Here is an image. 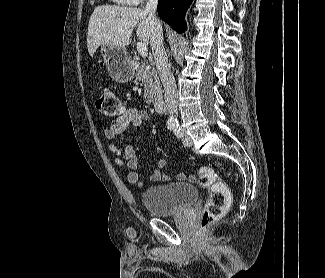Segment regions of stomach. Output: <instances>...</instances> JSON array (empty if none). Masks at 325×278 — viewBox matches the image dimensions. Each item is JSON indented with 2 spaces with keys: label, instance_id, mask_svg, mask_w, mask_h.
<instances>
[{
  "label": "stomach",
  "instance_id": "0dacf381",
  "mask_svg": "<svg viewBox=\"0 0 325 278\" xmlns=\"http://www.w3.org/2000/svg\"><path fill=\"white\" fill-rule=\"evenodd\" d=\"M101 55L110 76L119 83H126L134 76V68L125 47L102 45Z\"/></svg>",
  "mask_w": 325,
  "mask_h": 278
}]
</instances>
